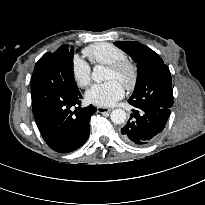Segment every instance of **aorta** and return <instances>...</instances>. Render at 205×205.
<instances>
[{"label":"aorta","instance_id":"aorta-1","mask_svg":"<svg viewBox=\"0 0 205 205\" xmlns=\"http://www.w3.org/2000/svg\"><path fill=\"white\" fill-rule=\"evenodd\" d=\"M104 71L105 69L103 66H95L91 75L92 79L98 83L104 81ZM110 118L114 124H122L126 120V112L123 109H114L110 114Z\"/></svg>","mask_w":205,"mask_h":205}]
</instances>
